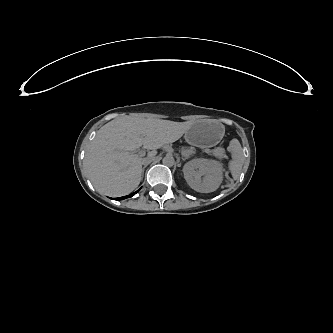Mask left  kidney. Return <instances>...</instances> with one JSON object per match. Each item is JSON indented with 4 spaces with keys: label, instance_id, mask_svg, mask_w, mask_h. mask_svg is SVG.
Wrapping results in <instances>:
<instances>
[{
    "label": "left kidney",
    "instance_id": "left-kidney-1",
    "mask_svg": "<svg viewBox=\"0 0 333 333\" xmlns=\"http://www.w3.org/2000/svg\"><path fill=\"white\" fill-rule=\"evenodd\" d=\"M187 184L197 192L210 193L223 181V165L214 159L194 158L183 166Z\"/></svg>",
    "mask_w": 333,
    "mask_h": 333
}]
</instances>
